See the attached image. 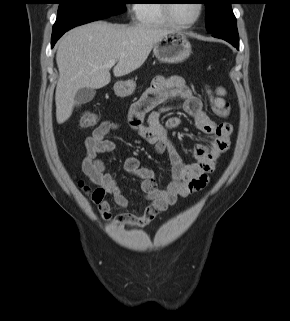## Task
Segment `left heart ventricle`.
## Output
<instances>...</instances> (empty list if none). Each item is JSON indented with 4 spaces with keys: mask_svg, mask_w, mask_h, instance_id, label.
<instances>
[{
    "mask_svg": "<svg viewBox=\"0 0 290 321\" xmlns=\"http://www.w3.org/2000/svg\"><path fill=\"white\" fill-rule=\"evenodd\" d=\"M197 2L194 0H179L172 6L174 18L180 22H189L197 15Z\"/></svg>",
    "mask_w": 290,
    "mask_h": 321,
    "instance_id": "left-heart-ventricle-1",
    "label": "left heart ventricle"
}]
</instances>
